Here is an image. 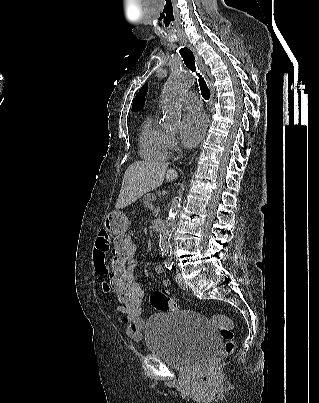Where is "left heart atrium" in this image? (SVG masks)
Segmentation results:
<instances>
[{"label":"left heart atrium","mask_w":319,"mask_h":403,"mask_svg":"<svg viewBox=\"0 0 319 403\" xmlns=\"http://www.w3.org/2000/svg\"><path fill=\"white\" fill-rule=\"evenodd\" d=\"M207 118L203 113L191 112L185 115L181 124L180 137L186 147H194L203 137Z\"/></svg>","instance_id":"obj_1"}]
</instances>
